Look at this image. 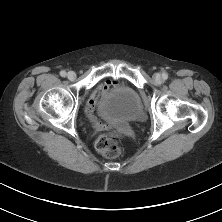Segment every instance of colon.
<instances>
[{
	"instance_id": "5ec220e1",
	"label": "colon",
	"mask_w": 222,
	"mask_h": 222,
	"mask_svg": "<svg viewBox=\"0 0 222 222\" xmlns=\"http://www.w3.org/2000/svg\"><path fill=\"white\" fill-rule=\"evenodd\" d=\"M121 138V133L117 131L103 134L97 140L96 148L104 156L115 158L121 153Z\"/></svg>"
}]
</instances>
